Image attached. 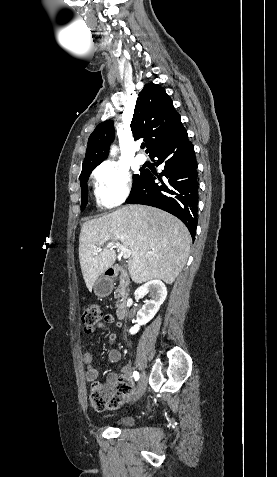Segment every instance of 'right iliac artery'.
Here are the masks:
<instances>
[{"label": "right iliac artery", "mask_w": 277, "mask_h": 477, "mask_svg": "<svg viewBox=\"0 0 277 477\" xmlns=\"http://www.w3.org/2000/svg\"><path fill=\"white\" fill-rule=\"evenodd\" d=\"M133 376L136 381L139 379V373L137 371H134Z\"/></svg>", "instance_id": "obj_1"}]
</instances>
